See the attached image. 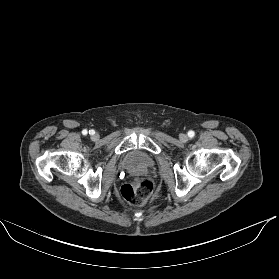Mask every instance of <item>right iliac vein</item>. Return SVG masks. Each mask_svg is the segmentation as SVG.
I'll return each instance as SVG.
<instances>
[{"mask_svg":"<svg viewBox=\"0 0 279 279\" xmlns=\"http://www.w3.org/2000/svg\"><path fill=\"white\" fill-rule=\"evenodd\" d=\"M96 138H97V136H96V135H94V136H93V139H96Z\"/></svg>","mask_w":279,"mask_h":279,"instance_id":"right-iliac-vein-1","label":"right iliac vein"}]
</instances>
